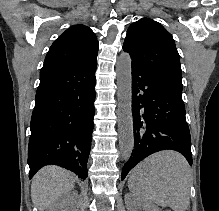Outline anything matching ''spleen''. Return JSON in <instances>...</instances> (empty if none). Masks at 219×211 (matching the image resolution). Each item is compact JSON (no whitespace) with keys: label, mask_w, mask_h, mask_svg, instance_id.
<instances>
[{"label":"spleen","mask_w":219,"mask_h":211,"mask_svg":"<svg viewBox=\"0 0 219 211\" xmlns=\"http://www.w3.org/2000/svg\"><path fill=\"white\" fill-rule=\"evenodd\" d=\"M190 165L182 153L165 149L138 163L129 173L128 187L145 203L185 211L190 199Z\"/></svg>","instance_id":"obj_1"}]
</instances>
